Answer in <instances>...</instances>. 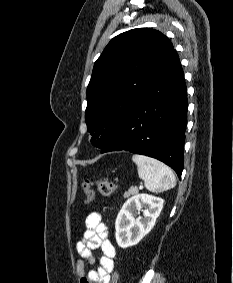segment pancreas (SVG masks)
I'll return each instance as SVG.
<instances>
[{"label": "pancreas", "instance_id": "cf45deb5", "mask_svg": "<svg viewBox=\"0 0 233 283\" xmlns=\"http://www.w3.org/2000/svg\"><path fill=\"white\" fill-rule=\"evenodd\" d=\"M139 190L136 187H131L128 191L125 192V197H129L131 195H137Z\"/></svg>", "mask_w": 233, "mask_h": 283}]
</instances>
